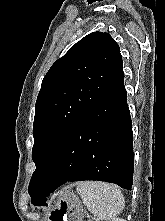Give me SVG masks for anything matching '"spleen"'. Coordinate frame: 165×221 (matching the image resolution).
<instances>
[{"mask_svg": "<svg viewBox=\"0 0 165 221\" xmlns=\"http://www.w3.org/2000/svg\"><path fill=\"white\" fill-rule=\"evenodd\" d=\"M77 192L88 210L102 221L115 218L125 206L123 194L116 185L86 181L78 184Z\"/></svg>", "mask_w": 165, "mask_h": 221, "instance_id": "spleen-1", "label": "spleen"}]
</instances>
